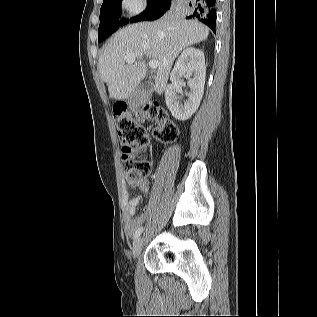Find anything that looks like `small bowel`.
Wrapping results in <instances>:
<instances>
[{"instance_id":"small-bowel-1","label":"small bowel","mask_w":317,"mask_h":317,"mask_svg":"<svg viewBox=\"0 0 317 317\" xmlns=\"http://www.w3.org/2000/svg\"><path fill=\"white\" fill-rule=\"evenodd\" d=\"M132 185L139 188L143 193L148 192L149 182L146 178H143ZM139 203L140 197L135 196L132 197L126 204L124 212V230L127 235H132L145 220V216L143 214L137 217H133Z\"/></svg>"}]
</instances>
